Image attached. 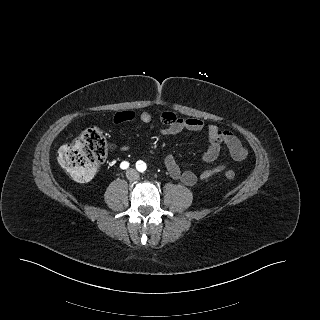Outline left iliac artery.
Here are the masks:
<instances>
[{"instance_id":"left-iliac-artery-1","label":"left iliac artery","mask_w":320,"mask_h":320,"mask_svg":"<svg viewBox=\"0 0 320 320\" xmlns=\"http://www.w3.org/2000/svg\"><path fill=\"white\" fill-rule=\"evenodd\" d=\"M136 168H137L138 171L144 172L147 169V166L143 161H138L136 163Z\"/></svg>"}]
</instances>
